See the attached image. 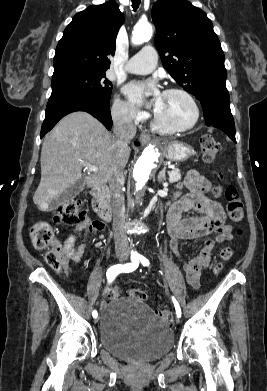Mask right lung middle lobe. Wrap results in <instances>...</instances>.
<instances>
[{
  "label": "right lung middle lobe",
  "instance_id": "obj_1",
  "mask_svg": "<svg viewBox=\"0 0 267 391\" xmlns=\"http://www.w3.org/2000/svg\"><path fill=\"white\" fill-rule=\"evenodd\" d=\"M52 93L48 103L63 98L80 97L110 104L112 83L105 71H72L52 76Z\"/></svg>",
  "mask_w": 267,
  "mask_h": 391
}]
</instances>
